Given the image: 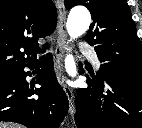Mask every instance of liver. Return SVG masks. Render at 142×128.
Instances as JSON below:
<instances>
[{
  "label": "liver",
  "mask_w": 142,
  "mask_h": 128,
  "mask_svg": "<svg viewBox=\"0 0 142 128\" xmlns=\"http://www.w3.org/2000/svg\"><path fill=\"white\" fill-rule=\"evenodd\" d=\"M0 128H23L21 125L11 124V123H1Z\"/></svg>",
  "instance_id": "liver-1"
}]
</instances>
